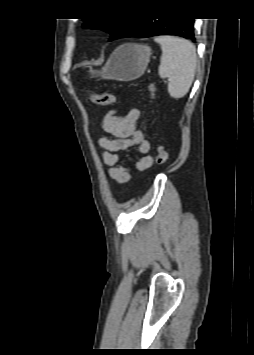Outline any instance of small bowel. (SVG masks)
<instances>
[{"instance_id":"obj_1","label":"small bowel","mask_w":254,"mask_h":355,"mask_svg":"<svg viewBox=\"0 0 254 355\" xmlns=\"http://www.w3.org/2000/svg\"><path fill=\"white\" fill-rule=\"evenodd\" d=\"M140 110L132 108L126 115L120 116L116 111H109L103 118V130L111 137H101L99 145L104 149L102 158L109 168V175L117 183H126L132 177V171L119 164V152L130 147H137L140 158L134 161L139 171L152 167L154 160L149 154L150 142L145 138L141 129L137 128Z\"/></svg>"}]
</instances>
